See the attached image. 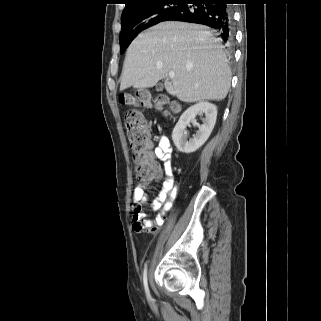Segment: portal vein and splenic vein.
<instances>
[{
  "label": "portal vein and splenic vein",
  "mask_w": 321,
  "mask_h": 321,
  "mask_svg": "<svg viewBox=\"0 0 321 321\" xmlns=\"http://www.w3.org/2000/svg\"><path fill=\"white\" fill-rule=\"evenodd\" d=\"M169 77H170L171 79H174L175 73H174V72H169Z\"/></svg>",
  "instance_id": "portal-vein-and-splenic-vein-1"
}]
</instances>
